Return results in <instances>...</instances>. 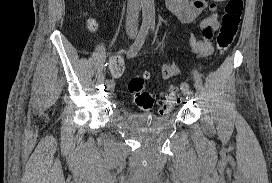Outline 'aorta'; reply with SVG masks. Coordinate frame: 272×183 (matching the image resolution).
<instances>
[{"mask_svg": "<svg viewBox=\"0 0 272 183\" xmlns=\"http://www.w3.org/2000/svg\"><path fill=\"white\" fill-rule=\"evenodd\" d=\"M142 20L144 24L155 23V5L154 0H141Z\"/></svg>", "mask_w": 272, "mask_h": 183, "instance_id": "1", "label": "aorta"}]
</instances>
